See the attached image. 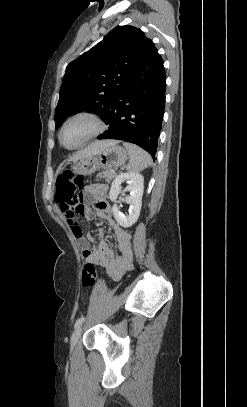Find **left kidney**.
I'll list each match as a JSON object with an SVG mask.
<instances>
[{
	"label": "left kidney",
	"mask_w": 247,
	"mask_h": 407,
	"mask_svg": "<svg viewBox=\"0 0 247 407\" xmlns=\"http://www.w3.org/2000/svg\"><path fill=\"white\" fill-rule=\"evenodd\" d=\"M124 181L128 184L124 191L130 192V195L125 199L126 203L130 205L128 215H124L120 212L116 204L117 196L121 193V184ZM143 190L144 178L138 172L121 173L112 182L109 198L114 202L112 211L114 218L120 226L128 228L138 220L141 211Z\"/></svg>",
	"instance_id": "obj_1"
}]
</instances>
